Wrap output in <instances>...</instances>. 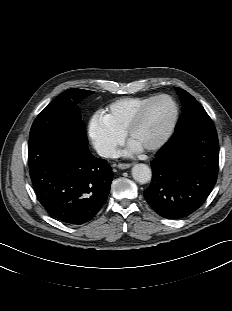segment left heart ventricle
Listing matches in <instances>:
<instances>
[{"mask_svg":"<svg viewBox=\"0 0 232 311\" xmlns=\"http://www.w3.org/2000/svg\"><path fill=\"white\" fill-rule=\"evenodd\" d=\"M173 116L170 101L161 99L154 102L146 111L142 121L130 136V141L141 147H148L157 141L168 127Z\"/></svg>","mask_w":232,"mask_h":311,"instance_id":"left-heart-ventricle-1","label":"left heart ventricle"}]
</instances>
